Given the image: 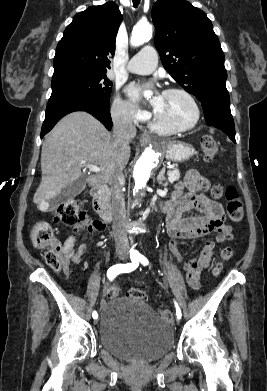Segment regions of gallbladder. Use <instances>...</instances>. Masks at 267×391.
I'll return each instance as SVG.
<instances>
[{
  "instance_id": "obj_1",
  "label": "gallbladder",
  "mask_w": 267,
  "mask_h": 391,
  "mask_svg": "<svg viewBox=\"0 0 267 391\" xmlns=\"http://www.w3.org/2000/svg\"><path fill=\"white\" fill-rule=\"evenodd\" d=\"M85 177L81 176L79 179L69 184L66 188H64L55 198L54 202L60 203L65 201H70L78 196L85 189Z\"/></svg>"
}]
</instances>
